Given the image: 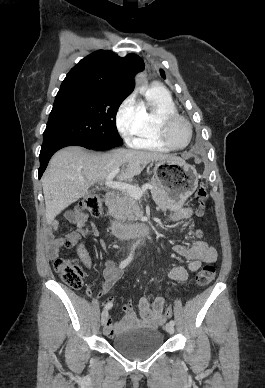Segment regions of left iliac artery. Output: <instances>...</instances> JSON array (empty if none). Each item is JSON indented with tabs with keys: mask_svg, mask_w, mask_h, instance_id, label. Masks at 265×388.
Segmentation results:
<instances>
[{
	"mask_svg": "<svg viewBox=\"0 0 265 388\" xmlns=\"http://www.w3.org/2000/svg\"><path fill=\"white\" fill-rule=\"evenodd\" d=\"M169 324H171V325L174 326V325H175V321H174V320H170V321H169Z\"/></svg>",
	"mask_w": 265,
	"mask_h": 388,
	"instance_id": "obj_1",
	"label": "left iliac artery"
}]
</instances>
